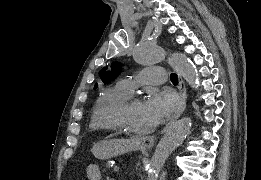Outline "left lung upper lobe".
I'll use <instances>...</instances> for the list:
<instances>
[{"label": "left lung upper lobe", "mask_w": 261, "mask_h": 180, "mask_svg": "<svg viewBox=\"0 0 261 180\" xmlns=\"http://www.w3.org/2000/svg\"><path fill=\"white\" fill-rule=\"evenodd\" d=\"M111 67H112V71L111 72L110 71H106L107 67L103 68L101 70V73H100L101 79L105 83L113 80L120 72V65H119V63H113L111 65ZM95 88H97V84L95 85Z\"/></svg>", "instance_id": "left-lung-upper-lobe-1"}]
</instances>
